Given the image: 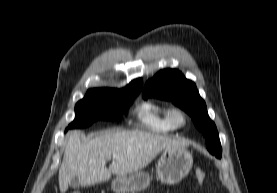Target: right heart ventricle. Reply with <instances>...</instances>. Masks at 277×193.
I'll list each match as a JSON object with an SVG mask.
<instances>
[{"instance_id": "right-heart-ventricle-1", "label": "right heart ventricle", "mask_w": 277, "mask_h": 193, "mask_svg": "<svg viewBox=\"0 0 277 193\" xmlns=\"http://www.w3.org/2000/svg\"><path fill=\"white\" fill-rule=\"evenodd\" d=\"M169 110L170 108L164 104L145 101L135 109V114L144 130L166 134L176 130L169 120Z\"/></svg>"}]
</instances>
